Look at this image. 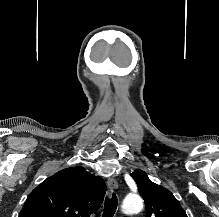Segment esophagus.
Masks as SVG:
<instances>
[{
	"instance_id": "34e87169",
	"label": "esophagus",
	"mask_w": 219,
	"mask_h": 217,
	"mask_svg": "<svg viewBox=\"0 0 219 217\" xmlns=\"http://www.w3.org/2000/svg\"><path fill=\"white\" fill-rule=\"evenodd\" d=\"M107 186L110 192H113L118 187V182L114 177H110L107 181Z\"/></svg>"
}]
</instances>
